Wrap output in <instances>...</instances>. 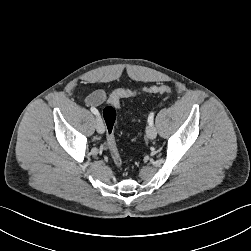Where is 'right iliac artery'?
Masks as SVG:
<instances>
[{"label":"right iliac artery","instance_id":"right-iliac-artery-1","mask_svg":"<svg viewBox=\"0 0 251 251\" xmlns=\"http://www.w3.org/2000/svg\"><path fill=\"white\" fill-rule=\"evenodd\" d=\"M90 110H91V112H92L93 114H95L96 116L100 117V114H99V112H98V110H97L96 108L91 107Z\"/></svg>","mask_w":251,"mask_h":251}]
</instances>
